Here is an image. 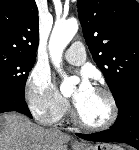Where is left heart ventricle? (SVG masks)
Instances as JSON below:
<instances>
[{"mask_svg":"<svg viewBox=\"0 0 139 150\" xmlns=\"http://www.w3.org/2000/svg\"><path fill=\"white\" fill-rule=\"evenodd\" d=\"M73 100L83 121L91 125L103 124L110 115V107L106 96L93 88L80 93L79 88L73 92Z\"/></svg>","mask_w":139,"mask_h":150,"instance_id":"left-heart-ventricle-1","label":"left heart ventricle"}]
</instances>
